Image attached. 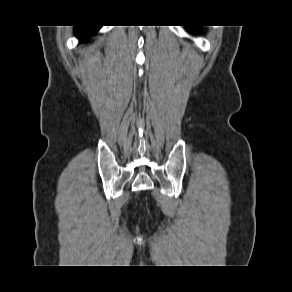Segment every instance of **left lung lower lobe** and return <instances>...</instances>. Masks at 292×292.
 I'll list each match as a JSON object with an SVG mask.
<instances>
[{"mask_svg":"<svg viewBox=\"0 0 292 292\" xmlns=\"http://www.w3.org/2000/svg\"><path fill=\"white\" fill-rule=\"evenodd\" d=\"M188 29L191 31V32H196V31H199V26H187Z\"/></svg>","mask_w":292,"mask_h":292,"instance_id":"left-lung-lower-lobe-1","label":"left lung lower lobe"}]
</instances>
